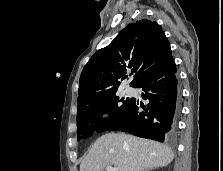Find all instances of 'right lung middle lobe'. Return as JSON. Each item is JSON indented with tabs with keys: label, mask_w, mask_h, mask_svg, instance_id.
Here are the masks:
<instances>
[{
	"label": "right lung middle lobe",
	"mask_w": 223,
	"mask_h": 171,
	"mask_svg": "<svg viewBox=\"0 0 223 171\" xmlns=\"http://www.w3.org/2000/svg\"><path fill=\"white\" fill-rule=\"evenodd\" d=\"M133 99H120L116 93L98 99L77 109L78 140L88 138L95 131H105L109 126L119 121L131 106ZM109 112L111 118L101 119V114Z\"/></svg>",
	"instance_id": "obj_1"
}]
</instances>
